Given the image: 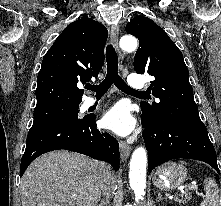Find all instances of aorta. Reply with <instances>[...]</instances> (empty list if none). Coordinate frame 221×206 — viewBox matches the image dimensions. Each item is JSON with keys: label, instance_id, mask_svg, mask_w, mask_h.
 Here are the masks:
<instances>
[{"label": "aorta", "instance_id": "obj_1", "mask_svg": "<svg viewBox=\"0 0 221 206\" xmlns=\"http://www.w3.org/2000/svg\"><path fill=\"white\" fill-rule=\"evenodd\" d=\"M120 47L122 50L131 52L138 47L137 39L132 35H125L120 39ZM146 167L147 153L143 147L134 150L130 161L129 183L131 189L135 193L136 200L142 199L146 189Z\"/></svg>", "mask_w": 221, "mask_h": 206}]
</instances>
